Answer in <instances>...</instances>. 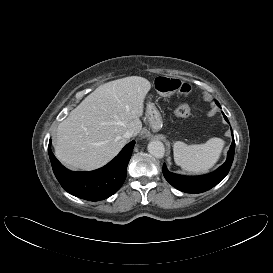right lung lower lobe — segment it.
Returning <instances> with one entry per match:
<instances>
[{
	"instance_id": "obj_1",
	"label": "right lung lower lobe",
	"mask_w": 273,
	"mask_h": 273,
	"mask_svg": "<svg viewBox=\"0 0 273 273\" xmlns=\"http://www.w3.org/2000/svg\"><path fill=\"white\" fill-rule=\"evenodd\" d=\"M48 153L53 172L68 193L88 200L99 201L117 192L125 181L127 165L131 158L135 141L126 145L122 151L104 167L90 172H73L66 169L56 159L50 148Z\"/></svg>"
}]
</instances>
